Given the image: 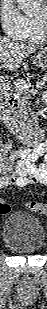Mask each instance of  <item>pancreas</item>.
<instances>
[{"label":"pancreas","instance_id":"obj_1","mask_svg":"<svg viewBox=\"0 0 47 309\" xmlns=\"http://www.w3.org/2000/svg\"><path fill=\"white\" fill-rule=\"evenodd\" d=\"M43 80H44V81H47V77L44 76V77H43ZM13 89H14V91H15L16 93H18L19 95H21V96L24 98V100L27 99V97H26V91H27V89H19V88H17L16 86H15ZM15 119H16V121H17L20 125H22V126L27 125V124H28V121H29V112H28V108H27L26 106H23L21 109H19V110L15 113Z\"/></svg>","mask_w":47,"mask_h":309}]
</instances>
